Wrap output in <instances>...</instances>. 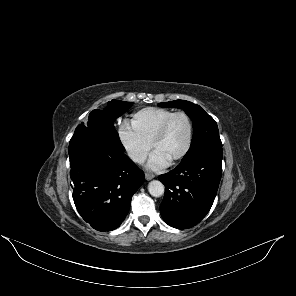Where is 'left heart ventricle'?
I'll list each match as a JSON object with an SVG mask.
<instances>
[{"mask_svg": "<svg viewBox=\"0 0 296 296\" xmlns=\"http://www.w3.org/2000/svg\"><path fill=\"white\" fill-rule=\"evenodd\" d=\"M188 131L185 117H175L169 124L162 140L155 146L154 152L160 154L170 163L183 151L187 143Z\"/></svg>", "mask_w": 296, "mask_h": 296, "instance_id": "obj_1", "label": "left heart ventricle"}]
</instances>
